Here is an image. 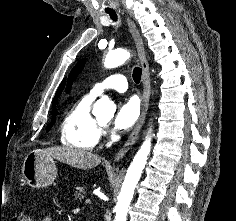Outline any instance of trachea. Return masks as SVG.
Listing matches in <instances>:
<instances>
[{"label":"trachea","mask_w":236,"mask_h":221,"mask_svg":"<svg viewBox=\"0 0 236 221\" xmlns=\"http://www.w3.org/2000/svg\"><path fill=\"white\" fill-rule=\"evenodd\" d=\"M111 19L116 21L117 20V14L115 13V11H109L107 12ZM141 74H142V69L139 68V67H135L134 70H133V80L135 81V83H139L140 80H141Z\"/></svg>","instance_id":"trachea-1"}]
</instances>
